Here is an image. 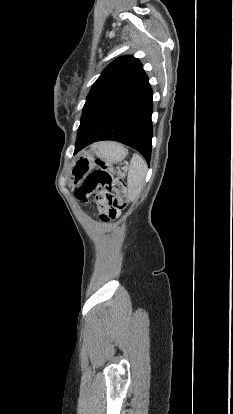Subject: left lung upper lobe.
<instances>
[{"label":"left lung upper lobe","instance_id":"obj_1","mask_svg":"<svg viewBox=\"0 0 233 414\" xmlns=\"http://www.w3.org/2000/svg\"><path fill=\"white\" fill-rule=\"evenodd\" d=\"M144 76L145 71L138 59L133 56L119 57L104 69L93 84L84 108L94 101L124 90Z\"/></svg>","mask_w":233,"mask_h":414}]
</instances>
